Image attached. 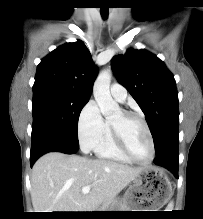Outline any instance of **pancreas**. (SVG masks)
Here are the masks:
<instances>
[{
    "mask_svg": "<svg viewBox=\"0 0 203 219\" xmlns=\"http://www.w3.org/2000/svg\"><path fill=\"white\" fill-rule=\"evenodd\" d=\"M110 208H119L118 210H124L125 205L122 203L121 200L111 199L106 202H103V204L99 207L98 211L113 210Z\"/></svg>",
    "mask_w": 203,
    "mask_h": 219,
    "instance_id": "pancreas-1",
    "label": "pancreas"
}]
</instances>
